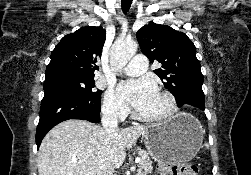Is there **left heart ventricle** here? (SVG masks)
Returning a JSON list of instances; mask_svg holds the SVG:
<instances>
[{"instance_id":"b2bd125f","label":"left heart ventricle","mask_w":251,"mask_h":175,"mask_svg":"<svg viewBox=\"0 0 251 175\" xmlns=\"http://www.w3.org/2000/svg\"><path fill=\"white\" fill-rule=\"evenodd\" d=\"M167 110H168L167 101L165 100L164 97H162L158 93L157 98L155 99L153 104L143 113L144 115L155 116V115H161L165 113Z\"/></svg>"}]
</instances>
